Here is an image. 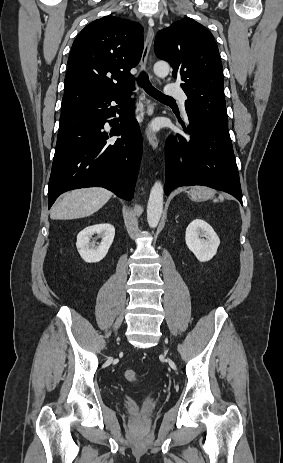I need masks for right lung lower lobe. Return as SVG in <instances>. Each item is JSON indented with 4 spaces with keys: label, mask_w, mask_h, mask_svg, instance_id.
Instances as JSON below:
<instances>
[{
    "label": "right lung lower lobe",
    "mask_w": 283,
    "mask_h": 463,
    "mask_svg": "<svg viewBox=\"0 0 283 463\" xmlns=\"http://www.w3.org/2000/svg\"><path fill=\"white\" fill-rule=\"evenodd\" d=\"M131 90L92 99L61 114L48 208L63 192L92 186L133 198L143 143ZM116 113L119 118H113Z\"/></svg>",
    "instance_id": "1"
}]
</instances>
